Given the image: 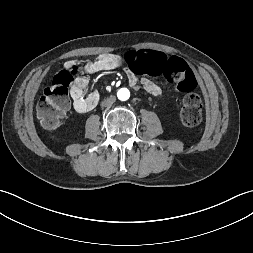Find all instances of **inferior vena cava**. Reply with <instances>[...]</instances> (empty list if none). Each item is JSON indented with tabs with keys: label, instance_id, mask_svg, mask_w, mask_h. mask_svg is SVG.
Listing matches in <instances>:
<instances>
[{
	"label": "inferior vena cava",
	"instance_id": "1",
	"mask_svg": "<svg viewBox=\"0 0 253 253\" xmlns=\"http://www.w3.org/2000/svg\"><path fill=\"white\" fill-rule=\"evenodd\" d=\"M115 102V97H109L101 102L102 107H109Z\"/></svg>",
	"mask_w": 253,
	"mask_h": 253
}]
</instances>
